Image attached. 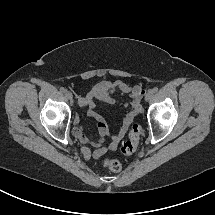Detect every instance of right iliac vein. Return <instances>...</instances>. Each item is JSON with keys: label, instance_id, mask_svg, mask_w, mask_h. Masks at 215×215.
Listing matches in <instances>:
<instances>
[{"label": "right iliac vein", "instance_id": "1", "mask_svg": "<svg viewBox=\"0 0 215 215\" xmlns=\"http://www.w3.org/2000/svg\"><path fill=\"white\" fill-rule=\"evenodd\" d=\"M65 95H66V97H67L68 99H70V100L73 98L72 93L69 92V91H66V92H65Z\"/></svg>", "mask_w": 215, "mask_h": 215}]
</instances>
